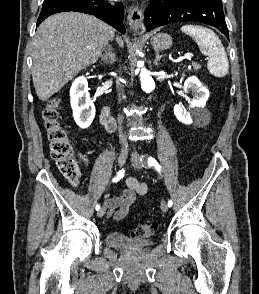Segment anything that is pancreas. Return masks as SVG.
Listing matches in <instances>:
<instances>
[{
  "label": "pancreas",
  "mask_w": 259,
  "mask_h": 294,
  "mask_svg": "<svg viewBox=\"0 0 259 294\" xmlns=\"http://www.w3.org/2000/svg\"><path fill=\"white\" fill-rule=\"evenodd\" d=\"M192 67H193V69H194V70H196V71H197L198 69H200V68H201V65H200V64H198V63H196V62H193V63H192Z\"/></svg>",
  "instance_id": "cf45deb5"
}]
</instances>
